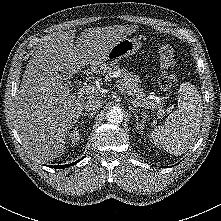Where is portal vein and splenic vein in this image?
I'll return each mask as SVG.
<instances>
[{"label": "portal vein and splenic vein", "instance_id": "obj_1", "mask_svg": "<svg viewBox=\"0 0 221 221\" xmlns=\"http://www.w3.org/2000/svg\"><path fill=\"white\" fill-rule=\"evenodd\" d=\"M119 88L121 89L122 86L120 85ZM98 91V88L94 85H84L80 88V93H86V94H93L96 93ZM133 103H136L138 106L140 107H146L149 108V103H138L136 101H134Z\"/></svg>", "mask_w": 221, "mask_h": 221}]
</instances>
